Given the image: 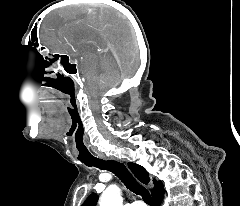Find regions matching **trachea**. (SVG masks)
I'll return each mask as SVG.
<instances>
[{"label": "trachea", "mask_w": 240, "mask_h": 206, "mask_svg": "<svg viewBox=\"0 0 240 206\" xmlns=\"http://www.w3.org/2000/svg\"><path fill=\"white\" fill-rule=\"evenodd\" d=\"M86 165L89 167L94 166L101 170L103 169L111 171L124 183V185L130 191L137 195H141L143 200L147 204L153 206L152 198L149 191L135 180V178L132 176V174L128 171V169L123 163L114 160L104 161L102 159H99L90 163H86Z\"/></svg>", "instance_id": "3493384b"}]
</instances>
